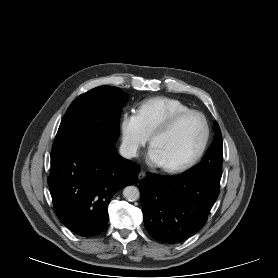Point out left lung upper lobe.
<instances>
[{
  "label": "left lung upper lobe",
  "mask_w": 278,
  "mask_h": 278,
  "mask_svg": "<svg viewBox=\"0 0 278 278\" xmlns=\"http://www.w3.org/2000/svg\"><path fill=\"white\" fill-rule=\"evenodd\" d=\"M214 140L207 150V153L203 157L200 164L190 169L185 174L187 175H199L213 177L221 179L222 175V156H223V144L222 136L219 125L214 123Z\"/></svg>",
  "instance_id": "left-lung-upper-lobe-1"
}]
</instances>
